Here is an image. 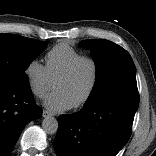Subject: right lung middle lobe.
<instances>
[{"instance_id": "obj_1", "label": "right lung middle lobe", "mask_w": 156, "mask_h": 156, "mask_svg": "<svg viewBox=\"0 0 156 156\" xmlns=\"http://www.w3.org/2000/svg\"><path fill=\"white\" fill-rule=\"evenodd\" d=\"M46 46L47 42L15 34H0V83L29 86L25 71Z\"/></svg>"}]
</instances>
